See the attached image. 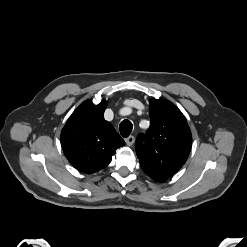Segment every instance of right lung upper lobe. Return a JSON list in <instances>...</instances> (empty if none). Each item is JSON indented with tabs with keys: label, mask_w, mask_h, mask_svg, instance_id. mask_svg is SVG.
I'll list each match as a JSON object with an SVG mask.
<instances>
[{
	"label": "right lung upper lobe",
	"mask_w": 247,
	"mask_h": 247,
	"mask_svg": "<svg viewBox=\"0 0 247 247\" xmlns=\"http://www.w3.org/2000/svg\"><path fill=\"white\" fill-rule=\"evenodd\" d=\"M106 101L94 105L84 101L67 120L61 132V146L69 162L91 174L106 167L116 149L125 142L111 123L104 120Z\"/></svg>",
	"instance_id": "1"
}]
</instances>
